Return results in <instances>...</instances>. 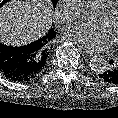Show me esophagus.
Here are the masks:
<instances>
[{
  "mask_svg": "<svg viewBox=\"0 0 118 118\" xmlns=\"http://www.w3.org/2000/svg\"><path fill=\"white\" fill-rule=\"evenodd\" d=\"M82 52L85 53L87 56H90V57L95 55V53L93 51H89L86 49H83Z\"/></svg>",
  "mask_w": 118,
  "mask_h": 118,
  "instance_id": "1",
  "label": "esophagus"
}]
</instances>
